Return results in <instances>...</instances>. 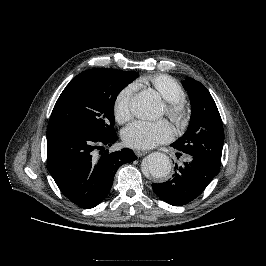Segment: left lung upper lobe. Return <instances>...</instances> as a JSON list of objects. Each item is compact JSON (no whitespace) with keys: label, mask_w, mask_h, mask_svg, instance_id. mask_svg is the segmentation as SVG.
<instances>
[{"label":"left lung upper lobe","mask_w":266,"mask_h":266,"mask_svg":"<svg viewBox=\"0 0 266 266\" xmlns=\"http://www.w3.org/2000/svg\"><path fill=\"white\" fill-rule=\"evenodd\" d=\"M182 85L188 92L192 113L187 132L172 146L220 166L224 130L217 106L207 88L199 81L186 78Z\"/></svg>","instance_id":"obj_1"}]
</instances>
